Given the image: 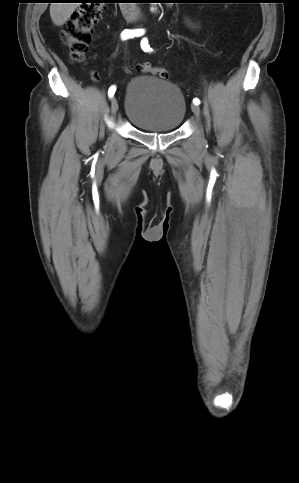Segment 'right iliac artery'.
Segmentation results:
<instances>
[{
	"instance_id": "1",
	"label": "right iliac artery",
	"mask_w": 299,
	"mask_h": 483,
	"mask_svg": "<svg viewBox=\"0 0 299 483\" xmlns=\"http://www.w3.org/2000/svg\"><path fill=\"white\" fill-rule=\"evenodd\" d=\"M144 33H145L144 29H135V30L125 29L121 33V38L122 40H127L129 38L142 36ZM115 91H116V86L112 85L108 90V95L110 98L114 95Z\"/></svg>"
}]
</instances>
